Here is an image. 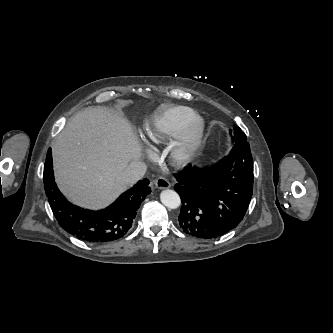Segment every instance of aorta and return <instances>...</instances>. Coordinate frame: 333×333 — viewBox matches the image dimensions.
Instances as JSON below:
<instances>
[{"instance_id":"obj_1","label":"aorta","mask_w":333,"mask_h":333,"mask_svg":"<svg viewBox=\"0 0 333 333\" xmlns=\"http://www.w3.org/2000/svg\"><path fill=\"white\" fill-rule=\"evenodd\" d=\"M160 200L169 209H176L181 204L179 195L170 189H166L161 192Z\"/></svg>"}]
</instances>
